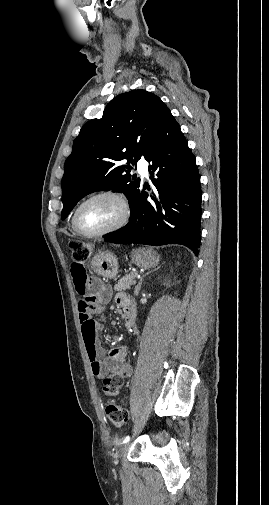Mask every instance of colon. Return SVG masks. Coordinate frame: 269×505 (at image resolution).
Masks as SVG:
<instances>
[{
    "label": "colon",
    "mask_w": 269,
    "mask_h": 505,
    "mask_svg": "<svg viewBox=\"0 0 269 505\" xmlns=\"http://www.w3.org/2000/svg\"><path fill=\"white\" fill-rule=\"evenodd\" d=\"M71 249L73 261L75 259H80L84 263L92 254V250L89 246L80 243L73 244ZM82 268H84V266ZM94 298L97 297L94 296ZM122 383L123 380L117 375H110L108 377H105L103 380V391L107 396L113 397L117 394ZM105 411L107 418L116 428L124 427L129 421L127 410L112 399L107 402Z\"/></svg>",
    "instance_id": "obj_1"
}]
</instances>
